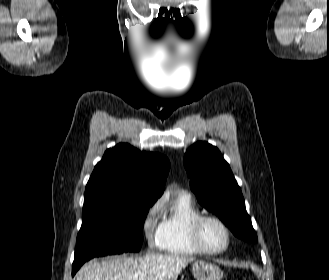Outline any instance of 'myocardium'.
Here are the masks:
<instances>
[{
  "mask_svg": "<svg viewBox=\"0 0 329 280\" xmlns=\"http://www.w3.org/2000/svg\"><path fill=\"white\" fill-rule=\"evenodd\" d=\"M208 221L216 222L225 231L226 243L220 249H216V250L209 249L204 245V243L202 241V238H201L202 227ZM190 238H191V241H192L194 247L196 248V250L198 252L205 254V255H220V254H223L224 252H226L228 250V248L230 247L231 241H232V233H231V230L228 227V225L220 217L213 215V214H201L200 216L195 218L193 220V222L191 223Z\"/></svg>",
  "mask_w": 329,
  "mask_h": 280,
  "instance_id": "myocardium-1",
  "label": "myocardium"
}]
</instances>
